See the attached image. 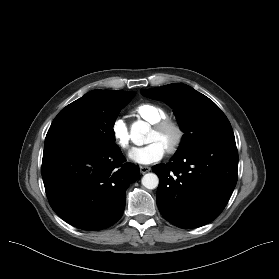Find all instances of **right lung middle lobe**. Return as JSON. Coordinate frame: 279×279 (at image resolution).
I'll use <instances>...</instances> for the list:
<instances>
[{"label": "right lung middle lobe", "mask_w": 279, "mask_h": 279, "mask_svg": "<svg viewBox=\"0 0 279 279\" xmlns=\"http://www.w3.org/2000/svg\"><path fill=\"white\" fill-rule=\"evenodd\" d=\"M133 95L89 92L67 105L54 119L44 147L74 141L105 150L116 146L113 126Z\"/></svg>", "instance_id": "obj_1"}]
</instances>
